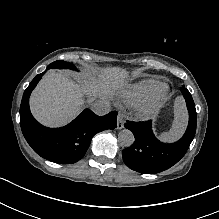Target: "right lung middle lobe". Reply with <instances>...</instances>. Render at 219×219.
I'll return each instance as SVG.
<instances>
[{
	"instance_id": "right-lung-middle-lobe-1",
	"label": "right lung middle lobe",
	"mask_w": 219,
	"mask_h": 219,
	"mask_svg": "<svg viewBox=\"0 0 219 219\" xmlns=\"http://www.w3.org/2000/svg\"><path fill=\"white\" fill-rule=\"evenodd\" d=\"M48 68H58V69L69 68V69H75V67L71 63H67V62H64V61H55V62L51 63L50 65H48Z\"/></svg>"
}]
</instances>
